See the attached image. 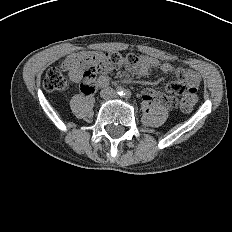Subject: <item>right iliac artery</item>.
<instances>
[{
    "label": "right iliac artery",
    "instance_id": "right-iliac-artery-1",
    "mask_svg": "<svg viewBox=\"0 0 232 232\" xmlns=\"http://www.w3.org/2000/svg\"><path fill=\"white\" fill-rule=\"evenodd\" d=\"M117 93H118L119 95H123V93H124L123 88H122V87H118V88H117Z\"/></svg>",
    "mask_w": 232,
    "mask_h": 232
}]
</instances>
